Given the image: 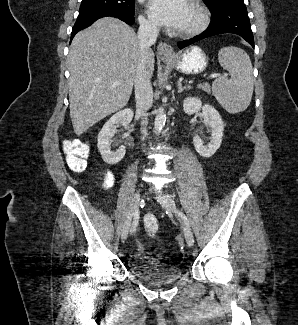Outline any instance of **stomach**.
Here are the masks:
<instances>
[{
  "mask_svg": "<svg viewBox=\"0 0 298 325\" xmlns=\"http://www.w3.org/2000/svg\"><path fill=\"white\" fill-rule=\"evenodd\" d=\"M164 64H171L178 72L183 74H200L208 66V54L200 46H188L184 50L175 52L174 58H161Z\"/></svg>",
  "mask_w": 298,
  "mask_h": 325,
  "instance_id": "1",
  "label": "stomach"
}]
</instances>
